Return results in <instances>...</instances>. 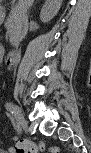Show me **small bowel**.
<instances>
[{"instance_id":"small-bowel-1","label":"small bowel","mask_w":91,"mask_h":153,"mask_svg":"<svg viewBox=\"0 0 91 153\" xmlns=\"http://www.w3.org/2000/svg\"><path fill=\"white\" fill-rule=\"evenodd\" d=\"M8 152L9 153H14V149L13 148H9Z\"/></svg>"}]
</instances>
